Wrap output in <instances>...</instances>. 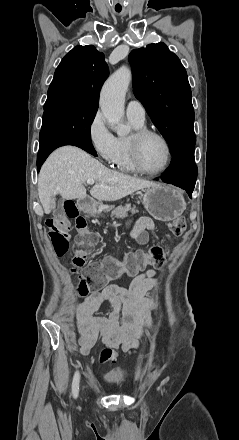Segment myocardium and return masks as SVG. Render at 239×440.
Listing matches in <instances>:
<instances>
[{
    "label": "myocardium",
    "instance_id": "obj_1",
    "mask_svg": "<svg viewBox=\"0 0 239 440\" xmlns=\"http://www.w3.org/2000/svg\"><path fill=\"white\" fill-rule=\"evenodd\" d=\"M148 136H155V137L159 138L160 140H162V142L164 143L166 150H167L166 164L164 165L163 168H161L158 171L147 170L143 166L142 161H141L140 146H141L142 141ZM129 151H130V157H131L132 164H133L134 168L136 169V171H138L144 175H147V176H158V175L165 173L169 169L171 162H172V157H173L172 145H171L169 139L160 131H158L156 129L148 128V127L137 128L135 130V132L129 137Z\"/></svg>",
    "mask_w": 239,
    "mask_h": 440
}]
</instances>
